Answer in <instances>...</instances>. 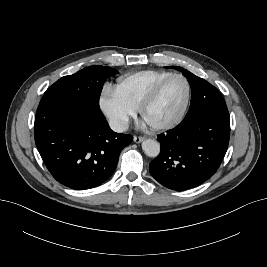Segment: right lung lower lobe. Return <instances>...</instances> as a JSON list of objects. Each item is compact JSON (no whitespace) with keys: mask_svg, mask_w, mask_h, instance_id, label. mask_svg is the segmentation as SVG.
<instances>
[{"mask_svg":"<svg viewBox=\"0 0 267 267\" xmlns=\"http://www.w3.org/2000/svg\"><path fill=\"white\" fill-rule=\"evenodd\" d=\"M35 143L52 176L84 190L99 186L114 172L121 150L133 136L111 130L101 110L42 97L35 117Z\"/></svg>","mask_w":267,"mask_h":267,"instance_id":"1","label":"right lung lower lobe"}]
</instances>
